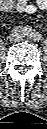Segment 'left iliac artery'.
Masks as SVG:
<instances>
[{
    "label": "left iliac artery",
    "mask_w": 47,
    "mask_h": 129,
    "mask_svg": "<svg viewBox=\"0 0 47 129\" xmlns=\"http://www.w3.org/2000/svg\"><path fill=\"white\" fill-rule=\"evenodd\" d=\"M30 36L35 41H39L42 38V35L39 34L38 32H35V31L34 32H31Z\"/></svg>",
    "instance_id": "1"
}]
</instances>
